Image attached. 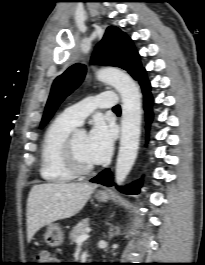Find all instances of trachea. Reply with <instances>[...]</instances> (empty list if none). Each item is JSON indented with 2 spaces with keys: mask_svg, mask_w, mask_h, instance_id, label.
Instances as JSON below:
<instances>
[{
  "mask_svg": "<svg viewBox=\"0 0 205 265\" xmlns=\"http://www.w3.org/2000/svg\"><path fill=\"white\" fill-rule=\"evenodd\" d=\"M113 109H114V110H120V106L117 105V106H115Z\"/></svg>",
  "mask_w": 205,
  "mask_h": 265,
  "instance_id": "1",
  "label": "trachea"
}]
</instances>
